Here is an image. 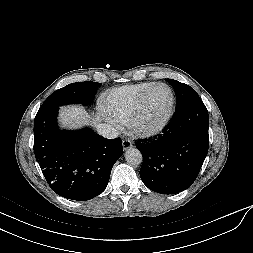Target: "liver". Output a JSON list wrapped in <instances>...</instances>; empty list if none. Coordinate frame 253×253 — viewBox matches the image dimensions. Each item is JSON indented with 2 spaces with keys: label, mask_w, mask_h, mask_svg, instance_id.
Listing matches in <instances>:
<instances>
[{
  "label": "liver",
  "mask_w": 253,
  "mask_h": 253,
  "mask_svg": "<svg viewBox=\"0 0 253 253\" xmlns=\"http://www.w3.org/2000/svg\"><path fill=\"white\" fill-rule=\"evenodd\" d=\"M62 127L78 128L85 124L96 125L100 118H91L85 109L78 105L63 107L59 113Z\"/></svg>",
  "instance_id": "liver-1"
}]
</instances>
